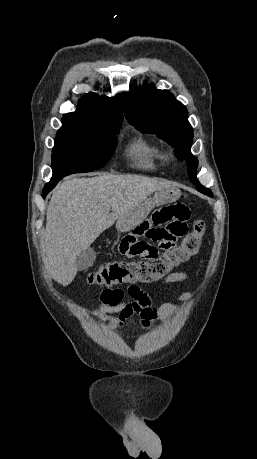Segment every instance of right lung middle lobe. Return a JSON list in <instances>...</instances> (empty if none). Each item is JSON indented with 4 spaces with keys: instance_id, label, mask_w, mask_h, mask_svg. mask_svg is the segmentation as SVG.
I'll use <instances>...</instances> for the list:
<instances>
[{
    "instance_id": "right-lung-middle-lobe-1",
    "label": "right lung middle lobe",
    "mask_w": 257,
    "mask_h": 459,
    "mask_svg": "<svg viewBox=\"0 0 257 459\" xmlns=\"http://www.w3.org/2000/svg\"><path fill=\"white\" fill-rule=\"evenodd\" d=\"M118 128L97 129L63 121L52 152L53 177L103 167L117 145Z\"/></svg>"
}]
</instances>
